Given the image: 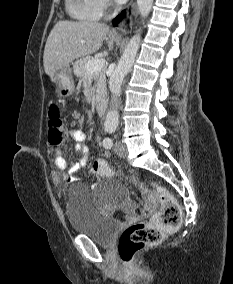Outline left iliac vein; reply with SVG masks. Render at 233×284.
Instances as JSON below:
<instances>
[{
  "label": "left iliac vein",
  "instance_id": "1",
  "mask_svg": "<svg viewBox=\"0 0 233 284\" xmlns=\"http://www.w3.org/2000/svg\"><path fill=\"white\" fill-rule=\"evenodd\" d=\"M114 151L116 152V154L120 157H126L127 155V148L126 145L124 143H122L121 141H117L114 145Z\"/></svg>",
  "mask_w": 233,
  "mask_h": 284
}]
</instances>
